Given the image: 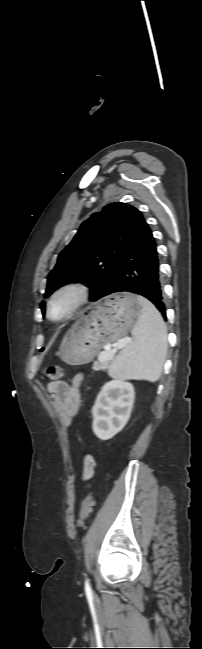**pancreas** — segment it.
<instances>
[{"label":"pancreas","instance_id":"cf45deb5","mask_svg":"<svg viewBox=\"0 0 202 649\" xmlns=\"http://www.w3.org/2000/svg\"><path fill=\"white\" fill-rule=\"evenodd\" d=\"M106 353H111L114 354V350H107L105 351ZM101 354V353H100ZM99 354V355H100ZM94 366L98 368V370H106L110 366V361L104 360V361H98Z\"/></svg>","mask_w":202,"mask_h":649}]
</instances>
